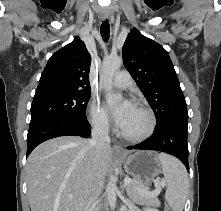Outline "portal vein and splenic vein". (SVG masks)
I'll use <instances>...</instances> for the list:
<instances>
[{
    "instance_id": "1",
    "label": "portal vein and splenic vein",
    "mask_w": 221,
    "mask_h": 211,
    "mask_svg": "<svg viewBox=\"0 0 221 211\" xmlns=\"http://www.w3.org/2000/svg\"><path fill=\"white\" fill-rule=\"evenodd\" d=\"M131 183H132V179H130V178H125L124 179V185L125 186H128ZM154 185H155V188H156V190L154 192H158L159 193V191L161 189V183L158 180H155ZM139 191L145 197H155L154 192H150V191H148L146 189H139ZM71 198H72V196L69 197V199H71Z\"/></svg>"
}]
</instances>
